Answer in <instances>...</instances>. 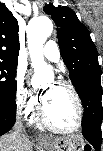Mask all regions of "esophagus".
I'll return each instance as SVG.
<instances>
[{"label":"esophagus","instance_id":"obj_1","mask_svg":"<svg viewBox=\"0 0 103 151\" xmlns=\"http://www.w3.org/2000/svg\"><path fill=\"white\" fill-rule=\"evenodd\" d=\"M36 138H37V140L40 141V142L45 141V138H44L43 136H41V135H38Z\"/></svg>","mask_w":103,"mask_h":151}]
</instances>
